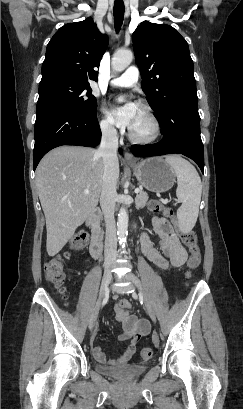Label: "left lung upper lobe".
I'll list each match as a JSON object with an SVG mask.
<instances>
[{"label":"left lung upper lobe","mask_w":243,"mask_h":409,"mask_svg":"<svg viewBox=\"0 0 243 409\" xmlns=\"http://www.w3.org/2000/svg\"><path fill=\"white\" fill-rule=\"evenodd\" d=\"M132 41L141 87L158 121L178 104L197 99L189 47L176 29L144 21Z\"/></svg>","instance_id":"left-lung-upper-lobe-1"}]
</instances>
